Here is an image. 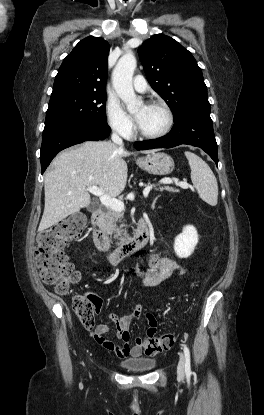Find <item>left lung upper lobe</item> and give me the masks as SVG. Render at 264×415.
I'll return each mask as SVG.
<instances>
[{"label":"left lung upper lobe","mask_w":264,"mask_h":415,"mask_svg":"<svg viewBox=\"0 0 264 415\" xmlns=\"http://www.w3.org/2000/svg\"><path fill=\"white\" fill-rule=\"evenodd\" d=\"M151 87L170 105L174 121L196 108H210L201 68L174 39L156 34L138 49Z\"/></svg>","instance_id":"left-lung-upper-lobe-1"}]
</instances>
